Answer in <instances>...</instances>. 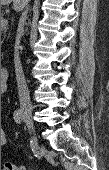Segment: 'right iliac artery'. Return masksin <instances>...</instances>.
I'll use <instances>...</instances> for the list:
<instances>
[{
  "label": "right iliac artery",
  "instance_id": "82829eb1",
  "mask_svg": "<svg viewBox=\"0 0 109 170\" xmlns=\"http://www.w3.org/2000/svg\"><path fill=\"white\" fill-rule=\"evenodd\" d=\"M14 120L18 124L22 123V111L20 109L14 112Z\"/></svg>",
  "mask_w": 109,
  "mask_h": 170
}]
</instances>
